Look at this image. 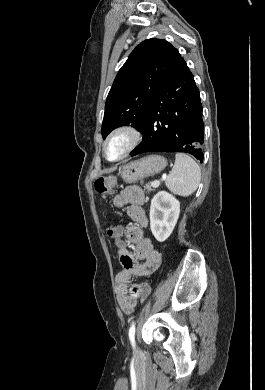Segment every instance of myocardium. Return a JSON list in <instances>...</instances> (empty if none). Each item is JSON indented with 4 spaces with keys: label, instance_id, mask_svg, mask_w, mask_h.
<instances>
[{
    "label": "myocardium",
    "instance_id": "obj_1",
    "mask_svg": "<svg viewBox=\"0 0 265 390\" xmlns=\"http://www.w3.org/2000/svg\"><path fill=\"white\" fill-rule=\"evenodd\" d=\"M122 136L126 139V144L122 152L116 158L108 156L109 143L116 137ZM142 134L134 126L123 124L112 129L103 142V154L109 162H119L125 159L141 142Z\"/></svg>",
    "mask_w": 265,
    "mask_h": 390
}]
</instances>
